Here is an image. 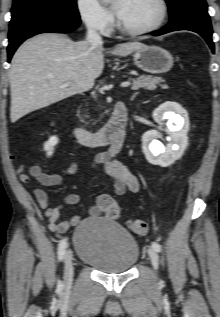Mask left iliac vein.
I'll return each instance as SVG.
<instances>
[{
	"instance_id": "4c4485c4",
	"label": "left iliac vein",
	"mask_w": 220,
	"mask_h": 317,
	"mask_svg": "<svg viewBox=\"0 0 220 317\" xmlns=\"http://www.w3.org/2000/svg\"><path fill=\"white\" fill-rule=\"evenodd\" d=\"M147 252H148L149 258L151 260L152 266L156 270L158 268V265H159V256L153 248H148Z\"/></svg>"
}]
</instances>
